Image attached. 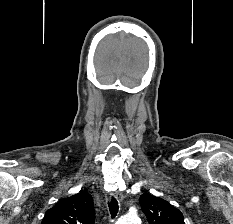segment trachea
<instances>
[{"instance_id":"obj_1","label":"trachea","mask_w":233,"mask_h":224,"mask_svg":"<svg viewBox=\"0 0 233 224\" xmlns=\"http://www.w3.org/2000/svg\"><path fill=\"white\" fill-rule=\"evenodd\" d=\"M108 206L111 217L115 218L119 210L118 201L116 200V198L112 197L111 201L108 203Z\"/></svg>"}]
</instances>
